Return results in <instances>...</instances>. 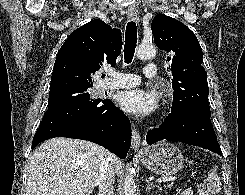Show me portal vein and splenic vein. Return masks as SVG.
<instances>
[{
    "label": "portal vein and splenic vein",
    "mask_w": 245,
    "mask_h": 195,
    "mask_svg": "<svg viewBox=\"0 0 245 195\" xmlns=\"http://www.w3.org/2000/svg\"><path fill=\"white\" fill-rule=\"evenodd\" d=\"M175 179H176V177L161 178V179H158L157 182H158V183H162V182H171V181H174Z\"/></svg>",
    "instance_id": "portal-vein-and-splenic-vein-1"
}]
</instances>
